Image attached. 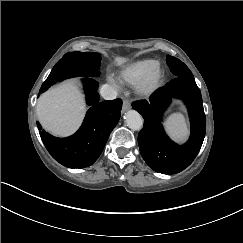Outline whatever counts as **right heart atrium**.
Instances as JSON below:
<instances>
[{
	"label": "right heart atrium",
	"mask_w": 243,
	"mask_h": 243,
	"mask_svg": "<svg viewBox=\"0 0 243 243\" xmlns=\"http://www.w3.org/2000/svg\"><path fill=\"white\" fill-rule=\"evenodd\" d=\"M104 78L107 83H109L117 93L121 91V83L118 77L112 71H107L104 75Z\"/></svg>",
	"instance_id": "d8ad5b80"
}]
</instances>
